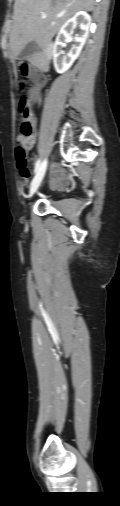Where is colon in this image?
I'll return each mask as SVG.
<instances>
[{"instance_id":"obj_1","label":"colon","mask_w":120,"mask_h":506,"mask_svg":"<svg viewBox=\"0 0 120 506\" xmlns=\"http://www.w3.org/2000/svg\"><path fill=\"white\" fill-rule=\"evenodd\" d=\"M22 77L27 76L28 67L26 64H21ZM24 79L20 80V86L23 87ZM19 110V127L20 134L17 137L16 158L17 168L21 178L29 176L28 168V153L34 144V123L28 103L25 97H21L18 101Z\"/></svg>"}]
</instances>
